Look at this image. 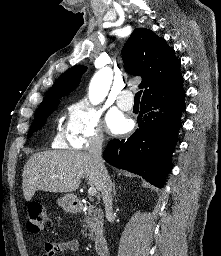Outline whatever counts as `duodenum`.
Masks as SVG:
<instances>
[{
	"instance_id": "410a0bca",
	"label": "duodenum",
	"mask_w": 221,
	"mask_h": 256,
	"mask_svg": "<svg viewBox=\"0 0 221 256\" xmlns=\"http://www.w3.org/2000/svg\"><path fill=\"white\" fill-rule=\"evenodd\" d=\"M71 207L75 212H80L84 208L81 200H72ZM94 249L99 256H106L108 253V243L104 234H99L94 239Z\"/></svg>"
}]
</instances>
